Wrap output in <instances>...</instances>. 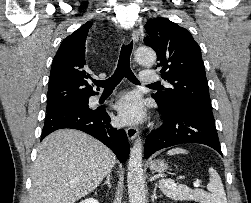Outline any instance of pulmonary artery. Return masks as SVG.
Wrapping results in <instances>:
<instances>
[{"instance_id": "1", "label": "pulmonary artery", "mask_w": 251, "mask_h": 203, "mask_svg": "<svg viewBox=\"0 0 251 203\" xmlns=\"http://www.w3.org/2000/svg\"><path fill=\"white\" fill-rule=\"evenodd\" d=\"M140 80L144 83H157L160 77L155 72L145 71L140 74ZM100 95L94 97V100H98Z\"/></svg>"}]
</instances>
